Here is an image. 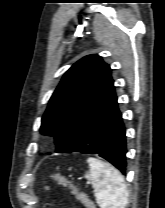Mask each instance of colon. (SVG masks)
<instances>
[{
	"instance_id": "colon-1",
	"label": "colon",
	"mask_w": 165,
	"mask_h": 208,
	"mask_svg": "<svg viewBox=\"0 0 165 208\" xmlns=\"http://www.w3.org/2000/svg\"><path fill=\"white\" fill-rule=\"evenodd\" d=\"M50 180L56 181L58 184L67 187L71 190L75 198L80 201L86 208H95L89 197L81 191L76 185H74L70 180L66 179L60 174H53L49 178Z\"/></svg>"
}]
</instances>
